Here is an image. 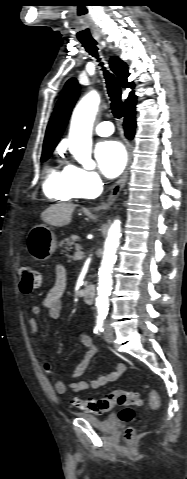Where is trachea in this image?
Masks as SVG:
<instances>
[{"instance_id": "obj_1", "label": "trachea", "mask_w": 187, "mask_h": 479, "mask_svg": "<svg viewBox=\"0 0 187 479\" xmlns=\"http://www.w3.org/2000/svg\"><path fill=\"white\" fill-rule=\"evenodd\" d=\"M83 47L86 49V51L92 55L93 57H96L98 61H100V58L98 57V48H97V42L93 40H88V41H81ZM101 66H103V63H100ZM104 70V76L106 79V84H107V91L111 100V109L112 113L115 118H121L124 114V107H123V102L121 100V90L120 86L118 84L117 79L110 74L108 71Z\"/></svg>"}]
</instances>
